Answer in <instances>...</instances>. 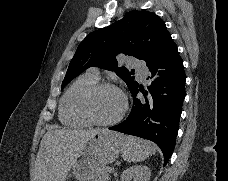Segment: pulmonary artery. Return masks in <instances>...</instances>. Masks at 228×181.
I'll list each match as a JSON object with an SVG mask.
<instances>
[{"label": "pulmonary artery", "instance_id": "e3ab8cb5", "mask_svg": "<svg viewBox=\"0 0 228 181\" xmlns=\"http://www.w3.org/2000/svg\"><path fill=\"white\" fill-rule=\"evenodd\" d=\"M129 62H134L135 58L134 57H129L128 58ZM136 71H147V66H136ZM93 73V72H91Z\"/></svg>", "mask_w": 228, "mask_h": 181}]
</instances>
